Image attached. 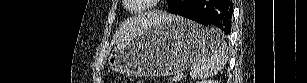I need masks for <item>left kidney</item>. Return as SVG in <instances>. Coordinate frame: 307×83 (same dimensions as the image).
Masks as SVG:
<instances>
[{
  "mask_svg": "<svg viewBox=\"0 0 307 83\" xmlns=\"http://www.w3.org/2000/svg\"><path fill=\"white\" fill-rule=\"evenodd\" d=\"M200 83H217L216 80L201 81Z\"/></svg>",
  "mask_w": 307,
  "mask_h": 83,
  "instance_id": "5707ae66",
  "label": "left kidney"
}]
</instances>
